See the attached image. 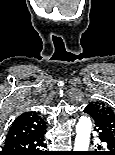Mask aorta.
I'll return each mask as SVG.
<instances>
[{"instance_id": "obj_1", "label": "aorta", "mask_w": 115, "mask_h": 155, "mask_svg": "<svg viewBox=\"0 0 115 155\" xmlns=\"http://www.w3.org/2000/svg\"><path fill=\"white\" fill-rule=\"evenodd\" d=\"M92 123L90 118L82 116L76 125L74 151H87L90 143Z\"/></svg>"}]
</instances>
